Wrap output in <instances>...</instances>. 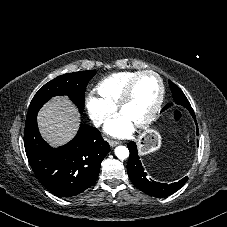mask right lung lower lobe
Here are the masks:
<instances>
[{"label": "right lung lower lobe", "instance_id": "98d812e1", "mask_svg": "<svg viewBox=\"0 0 227 227\" xmlns=\"http://www.w3.org/2000/svg\"><path fill=\"white\" fill-rule=\"evenodd\" d=\"M24 146L38 180L52 194L61 197L78 195L92 186L102 160L110 151L100 132L86 124L80 125L68 144L52 148L39 133L37 114L26 119Z\"/></svg>", "mask_w": 227, "mask_h": 227}]
</instances>
